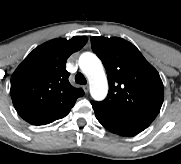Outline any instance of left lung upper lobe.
Here are the masks:
<instances>
[{
	"instance_id": "obj_1",
	"label": "left lung upper lobe",
	"mask_w": 181,
	"mask_h": 164,
	"mask_svg": "<svg viewBox=\"0 0 181 164\" xmlns=\"http://www.w3.org/2000/svg\"><path fill=\"white\" fill-rule=\"evenodd\" d=\"M91 44L104 64L109 82L106 99L91 103L151 124L164 100L159 73L133 44L124 39L93 36Z\"/></svg>"
}]
</instances>
